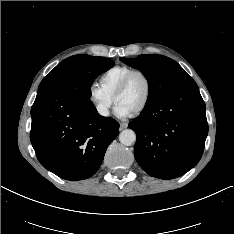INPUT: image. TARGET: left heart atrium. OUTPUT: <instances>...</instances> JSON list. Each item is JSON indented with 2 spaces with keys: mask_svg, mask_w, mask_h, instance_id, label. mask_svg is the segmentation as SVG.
<instances>
[{
  "mask_svg": "<svg viewBox=\"0 0 234 234\" xmlns=\"http://www.w3.org/2000/svg\"><path fill=\"white\" fill-rule=\"evenodd\" d=\"M115 113L118 117H126L130 114L128 110L123 108L122 106L116 105L115 107Z\"/></svg>",
  "mask_w": 234,
  "mask_h": 234,
  "instance_id": "39dd6f15",
  "label": "left heart atrium"
}]
</instances>
